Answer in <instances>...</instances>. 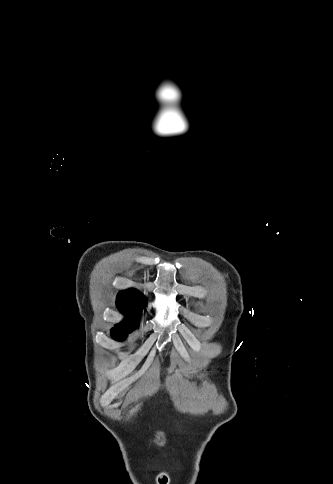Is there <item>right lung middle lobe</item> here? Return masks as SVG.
Listing matches in <instances>:
<instances>
[{"instance_id":"right-lung-middle-lobe-1","label":"right lung middle lobe","mask_w":333,"mask_h":484,"mask_svg":"<svg viewBox=\"0 0 333 484\" xmlns=\"http://www.w3.org/2000/svg\"><path fill=\"white\" fill-rule=\"evenodd\" d=\"M135 327L131 325H116V328H113L111 334L115 339L123 340L126 338L127 333L131 332Z\"/></svg>"}]
</instances>
